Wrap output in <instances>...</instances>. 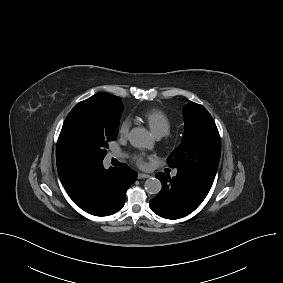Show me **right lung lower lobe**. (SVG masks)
Masks as SVG:
<instances>
[{"instance_id":"obj_1","label":"right lung lower lobe","mask_w":283,"mask_h":283,"mask_svg":"<svg viewBox=\"0 0 283 283\" xmlns=\"http://www.w3.org/2000/svg\"><path fill=\"white\" fill-rule=\"evenodd\" d=\"M59 176L74 203L96 216L121 209L127 188L137 179V173L127 165L106 170L103 162L74 165Z\"/></svg>"}]
</instances>
